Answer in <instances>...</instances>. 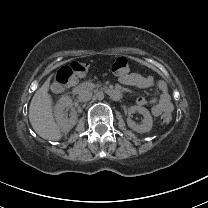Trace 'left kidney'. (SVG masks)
Here are the masks:
<instances>
[{
    "instance_id": "left-kidney-1",
    "label": "left kidney",
    "mask_w": 208,
    "mask_h": 208,
    "mask_svg": "<svg viewBox=\"0 0 208 208\" xmlns=\"http://www.w3.org/2000/svg\"><path fill=\"white\" fill-rule=\"evenodd\" d=\"M133 112H139L143 115V123L141 125H136L134 122H132L130 119L127 120V126L134 132L138 133H147L152 129L153 125V118L145 107L142 106H131L128 109V113L131 114Z\"/></svg>"
}]
</instances>
